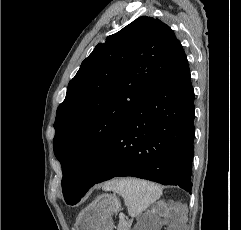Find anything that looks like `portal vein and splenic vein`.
Instances as JSON below:
<instances>
[{"instance_id":"portal-vein-and-splenic-vein-1","label":"portal vein and splenic vein","mask_w":241,"mask_h":230,"mask_svg":"<svg viewBox=\"0 0 241 230\" xmlns=\"http://www.w3.org/2000/svg\"><path fill=\"white\" fill-rule=\"evenodd\" d=\"M119 218H120L121 221H123L125 219V215L124 214H120Z\"/></svg>"}]
</instances>
